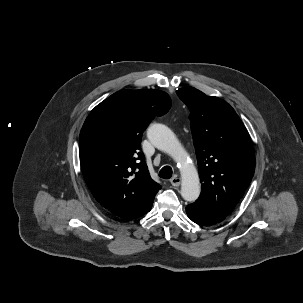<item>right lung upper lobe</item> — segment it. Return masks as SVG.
Wrapping results in <instances>:
<instances>
[{"label":"right lung upper lobe","instance_id":"cb5924a9","mask_svg":"<svg viewBox=\"0 0 303 303\" xmlns=\"http://www.w3.org/2000/svg\"><path fill=\"white\" fill-rule=\"evenodd\" d=\"M163 91H118L98 104L80 132V164L93 196L110 214L132 220L147 213L161 186L139 152L142 133L168 112Z\"/></svg>","mask_w":303,"mask_h":303}]
</instances>
